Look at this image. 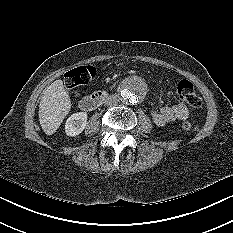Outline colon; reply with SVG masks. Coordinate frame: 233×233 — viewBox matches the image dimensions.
I'll use <instances>...</instances> for the list:
<instances>
[{
  "instance_id": "1",
  "label": "colon",
  "mask_w": 233,
  "mask_h": 233,
  "mask_svg": "<svg viewBox=\"0 0 233 233\" xmlns=\"http://www.w3.org/2000/svg\"><path fill=\"white\" fill-rule=\"evenodd\" d=\"M96 70L93 66H80L65 74V85L68 89H74L88 84L95 76ZM176 93L190 106L199 108L202 99L195 91L192 83L188 80H180L175 84ZM185 131H190L193 127L191 121H183L181 124Z\"/></svg>"
}]
</instances>
